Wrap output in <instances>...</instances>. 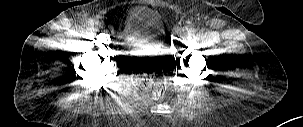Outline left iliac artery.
I'll return each mask as SVG.
<instances>
[{
    "label": "left iliac artery",
    "instance_id": "obj_1",
    "mask_svg": "<svg viewBox=\"0 0 303 127\" xmlns=\"http://www.w3.org/2000/svg\"><path fill=\"white\" fill-rule=\"evenodd\" d=\"M188 32H189L190 35H194L196 33V29L195 28H191V29H189Z\"/></svg>",
    "mask_w": 303,
    "mask_h": 127
}]
</instances>
